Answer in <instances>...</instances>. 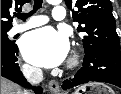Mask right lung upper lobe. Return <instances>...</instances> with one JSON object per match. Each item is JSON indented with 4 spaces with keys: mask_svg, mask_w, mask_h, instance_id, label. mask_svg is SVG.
<instances>
[{
    "mask_svg": "<svg viewBox=\"0 0 121 94\" xmlns=\"http://www.w3.org/2000/svg\"><path fill=\"white\" fill-rule=\"evenodd\" d=\"M29 1L30 0H1V30L11 29L12 27V18L9 10H20L22 5Z\"/></svg>",
    "mask_w": 121,
    "mask_h": 94,
    "instance_id": "1",
    "label": "right lung upper lobe"
}]
</instances>
